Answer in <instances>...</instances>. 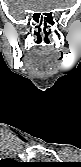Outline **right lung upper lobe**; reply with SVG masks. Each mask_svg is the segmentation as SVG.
I'll use <instances>...</instances> for the list:
<instances>
[{
	"instance_id": "1",
	"label": "right lung upper lobe",
	"mask_w": 81,
	"mask_h": 167,
	"mask_svg": "<svg viewBox=\"0 0 81 167\" xmlns=\"http://www.w3.org/2000/svg\"><path fill=\"white\" fill-rule=\"evenodd\" d=\"M4 161H5V163H7V164H9V165H13V163H15V161L12 160V159H6V160H4Z\"/></svg>"
}]
</instances>
